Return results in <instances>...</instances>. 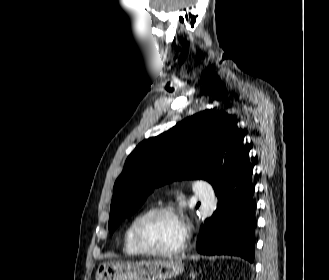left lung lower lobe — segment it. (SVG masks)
I'll list each match as a JSON object with an SVG mask.
<instances>
[{
  "mask_svg": "<svg viewBox=\"0 0 329 280\" xmlns=\"http://www.w3.org/2000/svg\"><path fill=\"white\" fill-rule=\"evenodd\" d=\"M249 149H242L239 169L224 186L215 189L219 199L214 214L204 221L197 251L204 255H234L254 261L255 209Z\"/></svg>",
  "mask_w": 329,
  "mask_h": 280,
  "instance_id": "obj_1",
  "label": "left lung lower lobe"
}]
</instances>
